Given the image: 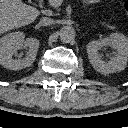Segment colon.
<instances>
[{
	"label": "colon",
	"instance_id": "1",
	"mask_svg": "<svg viewBox=\"0 0 128 128\" xmlns=\"http://www.w3.org/2000/svg\"><path fill=\"white\" fill-rule=\"evenodd\" d=\"M124 9H125V12L128 15V0H126V2L124 3Z\"/></svg>",
	"mask_w": 128,
	"mask_h": 128
}]
</instances>
